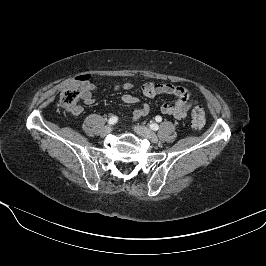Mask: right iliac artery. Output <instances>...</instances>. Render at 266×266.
I'll use <instances>...</instances> for the list:
<instances>
[{"instance_id": "1", "label": "right iliac artery", "mask_w": 266, "mask_h": 266, "mask_svg": "<svg viewBox=\"0 0 266 266\" xmlns=\"http://www.w3.org/2000/svg\"><path fill=\"white\" fill-rule=\"evenodd\" d=\"M117 121H118V117H117V116H112V117L109 119L108 124H109V125H114Z\"/></svg>"}]
</instances>
